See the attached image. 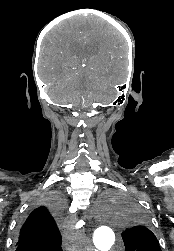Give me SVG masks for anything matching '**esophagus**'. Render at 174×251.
Listing matches in <instances>:
<instances>
[{
  "mask_svg": "<svg viewBox=\"0 0 174 251\" xmlns=\"http://www.w3.org/2000/svg\"><path fill=\"white\" fill-rule=\"evenodd\" d=\"M86 240H87V243H86V250H87V251H93V248H92V246H91V244H90V242H89V239L87 238Z\"/></svg>",
  "mask_w": 174,
  "mask_h": 251,
  "instance_id": "obj_1",
  "label": "esophagus"
}]
</instances>
